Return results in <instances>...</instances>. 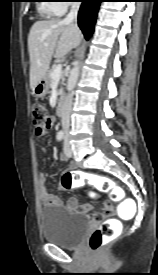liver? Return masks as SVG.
Segmentation results:
<instances>
[{
  "instance_id": "1",
  "label": "liver",
  "mask_w": 158,
  "mask_h": 275,
  "mask_svg": "<svg viewBox=\"0 0 158 275\" xmlns=\"http://www.w3.org/2000/svg\"><path fill=\"white\" fill-rule=\"evenodd\" d=\"M81 31L74 23L59 19L36 21L28 35L30 88L45 77L51 59L63 58L81 41Z\"/></svg>"
}]
</instances>
